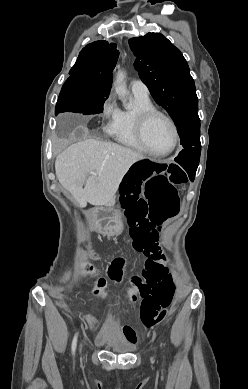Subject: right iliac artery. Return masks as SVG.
Wrapping results in <instances>:
<instances>
[{"instance_id":"obj_1","label":"right iliac artery","mask_w":248,"mask_h":389,"mask_svg":"<svg viewBox=\"0 0 248 389\" xmlns=\"http://www.w3.org/2000/svg\"><path fill=\"white\" fill-rule=\"evenodd\" d=\"M77 335H75L74 339H73V342H72V352L74 353L75 352V348H76V342H77Z\"/></svg>"}]
</instances>
